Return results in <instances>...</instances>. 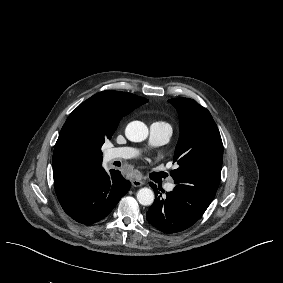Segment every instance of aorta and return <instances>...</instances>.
I'll list each match as a JSON object with an SVG mask.
<instances>
[{"label": "aorta", "instance_id": "762f6f07", "mask_svg": "<svg viewBox=\"0 0 283 283\" xmlns=\"http://www.w3.org/2000/svg\"><path fill=\"white\" fill-rule=\"evenodd\" d=\"M125 135L132 142H142L148 136V128L141 121H132L127 125ZM154 198V193L150 188H141L137 192V200L141 205L148 206L153 204Z\"/></svg>", "mask_w": 283, "mask_h": 283}]
</instances>
